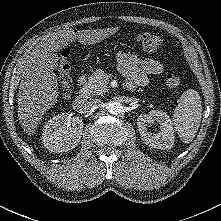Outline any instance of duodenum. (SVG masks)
Instances as JSON below:
<instances>
[{"mask_svg": "<svg viewBox=\"0 0 221 221\" xmlns=\"http://www.w3.org/2000/svg\"><path fill=\"white\" fill-rule=\"evenodd\" d=\"M85 82L84 77H80L79 79V86L80 88L83 87ZM86 103V95L83 92H80V94L76 97L75 101L73 102V108L75 110H81L85 106Z\"/></svg>", "mask_w": 221, "mask_h": 221, "instance_id": "obj_1", "label": "duodenum"}]
</instances>
